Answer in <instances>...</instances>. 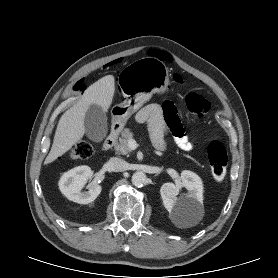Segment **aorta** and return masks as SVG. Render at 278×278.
<instances>
[{"label":"aorta","instance_id":"762f6f07","mask_svg":"<svg viewBox=\"0 0 278 278\" xmlns=\"http://www.w3.org/2000/svg\"><path fill=\"white\" fill-rule=\"evenodd\" d=\"M132 184L137 187H142L146 184L147 176L142 171H137L132 175Z\"/></svg>","mask_w":278,"mask_h":278}]
</instances>
